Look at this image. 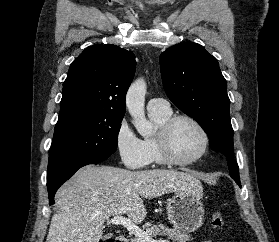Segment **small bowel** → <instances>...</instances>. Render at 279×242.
I'll return each mask as SVG.
<instances>
[{
	"instance_id": "obj_1",
	"label": "small bowel",
	"mask_w": 279,
	"mask_h": 242,
	"mask_svg": "<svg viewBox=\"0 0 279 242\" xmlns=\"http://www.w3.org/2000/svg\"><path fill=\"white\" fill-rule=\"evenodd\" d=\"M203 242H212V241H203Z\"/></svg>"
}]
</instances>
